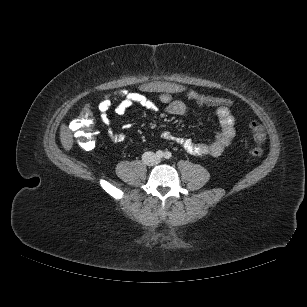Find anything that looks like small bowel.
<instances>
[{"mask_svg":"<svg viewBox=\"0 0 307 307\" xmlns=\"http://www.w3.org/2000/svg\"><path fill=\"white\" fill-rule=\"evenodd\" d=\"M198 95L197 92L190 90L186 93L188 99ZM159 100L165 104V112L169 115H186L189 112L188 106L179 100H175L171 93L161 92L158 95ZM133 105H139L151 112H157V105L141 92H128L121 94L117 101L115 96L106 95L98 105L99 117L102 123L107 127V134L114 142H123L125 136L123 133L116 132L111 127V118L109 112L114 110L117 116H124ZM215 115L218 119L220 129L214 139L206 143H196L185 137L174 135L169 131H164L161 137L167 141L175 142L182 146L188 153L195 156L210 155L220 156L225 148L230 144L235 136V119L228 107H216Z\"/></svg>","mask_w":307,"mask_h":307,"instance_id":"1","label":"small bowel"}]
</instances>
